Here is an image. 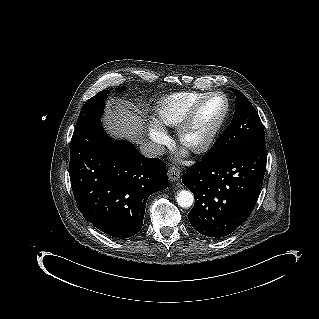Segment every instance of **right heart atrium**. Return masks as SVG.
<instances>
[{"mask_svg":"<svg viewBox=\"0 0 319 319\" xmlns=\"http://www.w3.org/2000/svg\"><path fill=\"white\" fill-rule=\"evenodd\" d=\"M149 138L151 142L155 144H160L165 138L164 132L158 124L151 123L148 129Z\"/></svg>","mask_w":319,"mask_h":319,"instance_id":"right-heart-atrium-1","label":"right heart atrium"}]
</instances>
